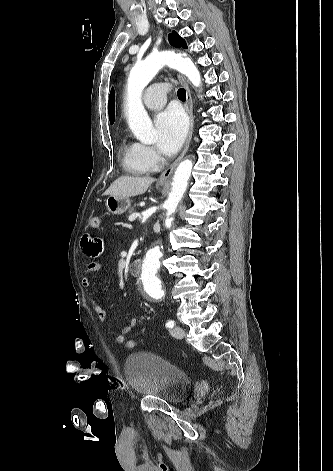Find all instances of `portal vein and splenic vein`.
Here are the masks:
<instances>
[{
  "label": "portal vein and splenic vein",
  "mask_w": 333,
  "mask_h": 471,
  "mask_svg": "<svg viewBox=\"0 0 333 471\" xmlns=\"http://www.w3.org/2000/svg\"><path fill=\"white\" fill-rule=\"evenodd\" d=\"M139 216L138 213H133L129 216V221H134Z\"/></svg>",
  "instance_id": "obj_1"
}]
</instances>
